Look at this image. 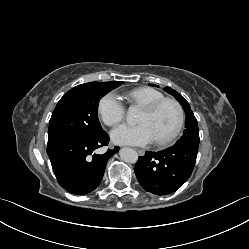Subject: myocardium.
Masks as SVG:
<instances>
[{
	"label": "myocardium",
	"mask_w": 249,
	"mask_h": 249,
	"mask_svg": "<svg viewBox=\"0 0 249 249\" xmlns=\"http://www.w3.org/2000/svg\"><path fill=\"white\" fill-rule=\"evenodd\" d=\"M165 103H171L176 107L178 111V122L174 130L168 136L155 141L158 146H167L176 140L184 127L185 111L179 101L169 97H164L141 107L142 110H145L148 113H153Z\"/></svg>",
	"instance_id": "obj_1"
}]
</instances>
